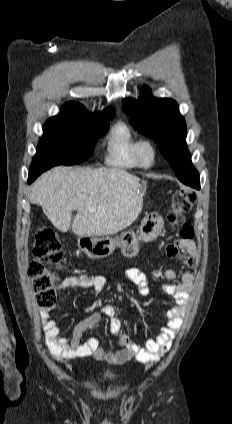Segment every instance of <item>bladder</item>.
<instances>
[{
    "label": "bladder",
    "instance_id": "1",
    "mask_svg": "<svg viewBox=\"0 0 232 424\" xmlns=\"http://www.w3.org/2000/svg\"><path fill=\"white\" fill-rule=\"evenodd\" d=\"M101 378L111 380V381H118L120 380L121 375L118 371L107 370L102 373Z\"/></svg>",
    "mask_w": 232,
    "mask_h": 424
}]
</instances>
